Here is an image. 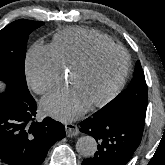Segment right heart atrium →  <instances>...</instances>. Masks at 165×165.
I'll return each instance as SVG.
<instances>
[{"mask_svg": "<svg viewBox=\"0 0 165 165\" xmlns=\"http://www.w3.org/2000/svg\"><path fill=\"white\" fill-rule=\"evenodd\" d=\"M26 76L31 89L45 94L63 81V69L51 46L35 44L26 58Z\"/></svg>", "mask_w": 165, "mask_h": 165, "instance_id": "obj_1", "label": "right heart atrium"}]
</instances>
